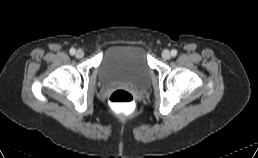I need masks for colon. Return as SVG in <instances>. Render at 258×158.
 <instances>
[{"label":"colon","instance_id":"5ec220e1","mask_svg":"<svg viewBox=\"0 0 258 158\" xmlns=\"http://www.w3.org/2000/svg\"><path fill=\"white\" fill-rule=\"evenodd\" d=\"M109 105L119 113L129 114L134 108L135 99L131 92L124 89H118L110 95Z\"/></svg>","mask_w":258,"mask_h":158}]
</instances>
